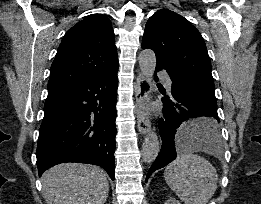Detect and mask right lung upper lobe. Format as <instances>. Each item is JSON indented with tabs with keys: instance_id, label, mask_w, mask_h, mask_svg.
Returning <instances> with one entry per match:
<instances>
[{
	"instance_id": "obj_1",
	"label": "right lung upper lobe",
	"mask_w": 261,
	"mask_h": 204,
	"mask_svg": "<svg viewBox=\"0 0 261 204\" xmlns=\"http://www.w3.org/2000/svg\"><path fill=\"white\" fill-rule=\"evenodd\" d=\"M118 67L110 20L92 14L64 35L51 65L48 89L91 79Z\"/></svg>"
}]
</instances>
